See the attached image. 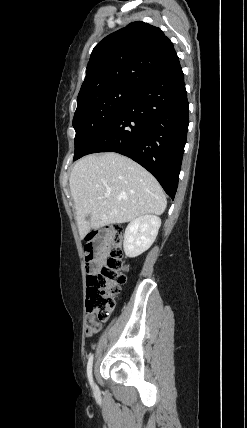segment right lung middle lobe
I'll return each instance as SVG.
<instances>
[{
  "mask_svg": "<svg viewBox=\"0 0 247 428\" xmlns=\"http://www.w3.org/2000/svg\"><path fill=\"white\" fill-rule=\"evenodd\" d=\"M139 91L129 86H114L78 96L73 118V127L76 131L73 160L84 153Z\"/></svg>",
  "mask_w": 247,
  "mask_h": 428,
  "instance_id": "dd1d6c3e",
  "label": "right lung middle lobe"
}]
</instances>
